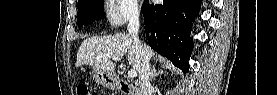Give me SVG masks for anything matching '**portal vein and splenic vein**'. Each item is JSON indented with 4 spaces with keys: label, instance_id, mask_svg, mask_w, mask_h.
<instances>
[{
    "label": "portal vein and splenic vein",
    "instance_id": "18ae733b",
    "mask_svg": "<svg viewBox=\"0 0 277 95\" xmlns=\"http://www.w3.org/2000/svg\"><path fill=\"white\" fill-rule=\"evenodd\" d=\"M113 60H114V61H119L120 58L113 57ZM136 76H137L136 70H129V71H128V77H129V78H135Z\"/></svg>",
    "mask_w": 277,
    "mask_h": 95
}]
</instances>
